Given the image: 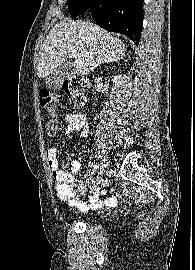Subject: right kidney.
Listing matches in <instances>:
<instances>
[{
  "label": "right kidney",
  "instance_id": "1",
  "mask_svg": "<svg viewBox=\"0 0 195 270\" xmlns=\"http://www.w3.org/2000/svg\"><path fill=\"white\" fill-rule=\"evenodd\" d=\"M120 77H121V76H119V77L116 76V77L114 78L113 82H115V83L119 82L118 80L120 79Z\"/></svg>",
  "mask_w": 195,
  "mask_h": 270
}]
</instances>
